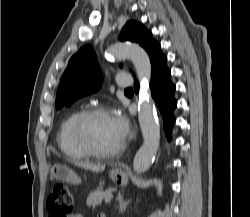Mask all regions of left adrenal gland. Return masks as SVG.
<instances>
[{
	"label": "left adrenal gland",
	"mask_w": 250,
	"mask_h": 217,
	"mask_svg": "<svg viewBox=\"0 0 250 217\" xmlns=\"http://www.w3.org/2000/svg\"><path fill=\"white\" fill-rule=\"evenodd\" d=\"M118 201H119V212L122 213L123 211L126 210L129 201H124L121 195L118 196Z\"/></svg>",
	"instance_id": "obj_1"
}]
</instances>
